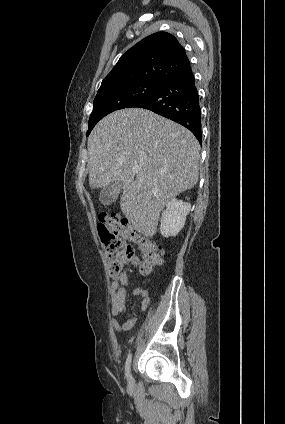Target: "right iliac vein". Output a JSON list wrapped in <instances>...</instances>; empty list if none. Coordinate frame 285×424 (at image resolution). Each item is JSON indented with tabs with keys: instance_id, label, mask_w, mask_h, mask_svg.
<instances>
[{
	"instance_id": "1",
	"label": "right iliac vein",
	"mask_w": 285,
	"mask_h": 424,
	"mask_svg": "<svg viewBox=\"0 0 285 424\" xmlns=\"http://www.w3.org/2000/svg\"><path fill=\"white\" fill-rule=\"evenodd\" d=\"M132 381H133L132 375H131V374H129V375H128V382H129V383H132Z\"/></svg>"
}]
</instances>
